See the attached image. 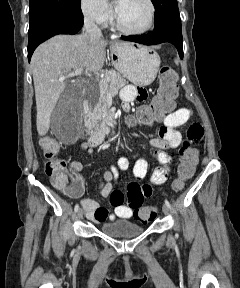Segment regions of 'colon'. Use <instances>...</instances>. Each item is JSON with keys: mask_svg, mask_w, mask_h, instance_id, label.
<instances>
[{"mask_svg": "<svg viewBox=\"0 0 240 288\" xmlns=\"http://www.w3.org/2000/svg\"><path fill=\"white\" fill-rule=\"evenodd\" d=\"M178 85L177 75L169 65H163L159 71V87L152 101L139 108L136 120L142 124L150 125L162 119L171 112L175 106ZM41 147L47 159L45 173L51 184L68 195L77 194L82 190L81 183L68 171L66 162L58 157L59 144L51 137H44L40 141ZM198 162L197 151L191 147L188 141L183 143L180 149V162L178 176L172 184L174 191L181 190L185 182L189 180L195 171ZM142 197L138 191H130L126 202L134 209V216L142 221L148 222L157 215V209L151 206L142 207Z\"/></svg>", "mask_w": 240, "mask_h": 288, "instance_id": "obj_1", "label": "colon"}]
</instances>
